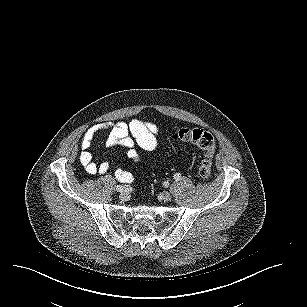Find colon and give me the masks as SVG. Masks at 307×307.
Here are the masks:
<instances>
[{
	"label": "colon",
	"instance_id": "obj_1",
	"mask_svg": "<svg viewBox=\"0 0 307 307\" xmlns=\"http://www.w3.org/2000/svg\"><path fill=\"white\" fill-rule=\"evenodd\" d=\"M173 137L176 141L195 145L204 152V158L199 167V176L202 180H209L216 151V142L213 135L201 129L182 128L177 130Z\"/></svg>",
	"mask_w": 307,
	"mask_h": 307
}]
</instances>
